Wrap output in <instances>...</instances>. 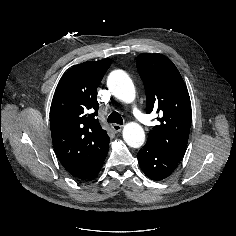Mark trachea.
Here are the masks:
<instances>
[{
  "label": "trachea",
  "mask_w": 236,
  "mask_h": 236,
  "mask_svg": "<svg viewBox=\"0 0 236 236\" xmlns=\"http://www.w3.org/2000/svg\"><path fill=\"white\" fill-rule=\"evenodd\" d=\"M107 121L109 123H117V124H123V119L121 117V115L118 112H112L109 116Z\"/></svg>",
  "instance_id": "3493384b"
}]
</instances>
